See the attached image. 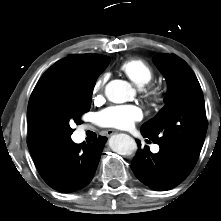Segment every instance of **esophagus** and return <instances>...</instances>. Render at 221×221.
Here are the masks:
<instances>
[{
	"mask_svg": "<svg viewBox=\"0 0 221 221\" xmlns=\"http://www.w3.org/2000/svg\"><path fill=\"white\" fill-rule=\"evenodd\" d=\"M105 133L107 136H111L114 133V130L109 129V130H106Z\"/></svg>",
	"mask_w": 221,
	"mask_h": 221,
	"instance_id": "34e87169",
	"label": "esophagus"
}]
</instances>
